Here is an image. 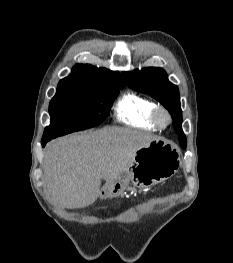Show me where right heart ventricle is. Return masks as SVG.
Masks as SVG:
<instances>
[{
    "label": "right heart ventricle",
    "instance_id": "1",
    "mask_svg": "<svg viewBox=\"0 0 233 263\" xmlns=\"http://www.w3.org/2000/svg\"><path fill=\"white\" fill-rule=\"evenodd\" d=\"M157 105L149 98L135 92L124 93L114 107L118 122L148 131L159 128L152 120L153 111Z\"/></svg>",
    "mask_w": 233,
    "mask_h": 263
}]
</instances>
